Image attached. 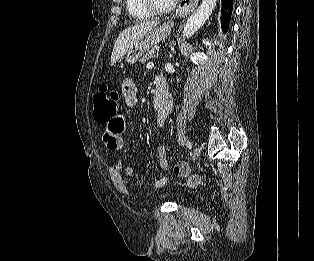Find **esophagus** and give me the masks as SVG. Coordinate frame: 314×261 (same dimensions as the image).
Here are the masks:
<instances>
[{"instance_id":"34e87169","label":"esophagus","mask_w":314,"mask_h":261,"mask_svg":"<svg viewBox=\"0 0 314 261\" xmlns=\"http://www.w3.org/2000/svg\"><path fill=\"white\" fill-rule=\"evenodd\" d=\"M198 1L199 0H189L188 3L180 4L178 12L185 15L190 14L197 7Z\"/></svg>"}]
</instances>
